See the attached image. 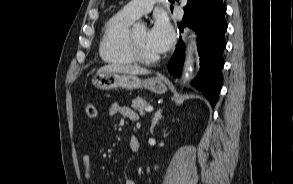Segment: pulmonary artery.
I'll use <instances>...</instances> for the list:
<instances>
[{
  "label": "pulmonary artery",
  "instance_id": "e3ab8cb5",
  "mask_svg": "<svg viewBox=\"0 0 293 184\" xmlns=\"http://www.w3.org/2000/svg\"><path fill=\"white\" fill-rule=\"evenodd\" d=\"M162 1L164 0H131L123 7L122 11L136 19L150 12L154 4Z\"/></svg>",
  "mask_w": 293,
  "mask_h": 184
}]
</instances>
